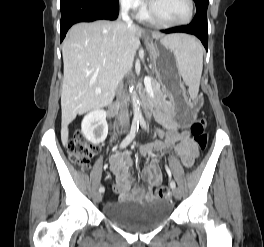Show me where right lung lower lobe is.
<instances>
[{"label": "right lung lower lobe", "instance_id": "right-lung-lower-lobe-1", "mask_svg": "<svg viewBox=\"0 0 264 247\" xmlns=\"http://www.w3.org/2000/svg\"><path fill=\"white\" fill-rule=\"evenodd\" d=\"M60 36L64 39L75 23L106 19L115 20L119 13L118 0H61Z\"/></svg>", "mask_w": 264, "mask_h": 247}]
</instances>
